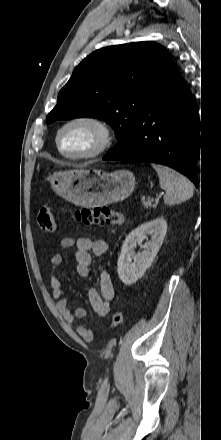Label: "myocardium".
I'll use <instances>...</instances> for the list:
<instances>
[{
    "mask_svg": "<svg viewBox=\"0 0 221 440\" xmlns=\"http://www.w3.org/2000/svg\"><path fill=\"white\" fill-rule=\"evenodd\" d=\"M76 124H82L92 127L98 134V142L95 147H93L91 150L87 152L79 153V154H71L65 152L62 149L60 144V138L62 133L67 128ZM112 140H113V133L109 124L105 120L93 115H79L70 118L58 128L55 135V144L58 152L64 158L72 161H83L102 155L104 152L108 150V148L112 143Z\"/></svg>",
    "mask_w": 221,
    "mask_h": 440,
    "instance_id": "myocardium-1",
    "label": "myocardium"
}]
</instances>
